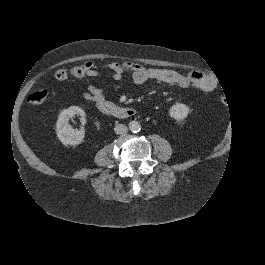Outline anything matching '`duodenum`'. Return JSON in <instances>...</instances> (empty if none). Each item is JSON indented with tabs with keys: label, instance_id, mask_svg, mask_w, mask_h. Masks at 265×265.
I'll return each instance as SVG.
<instances>
[{
	"label": "duodenum",
	"instance_id": "duodenum-1",
	"mask_svg": "<svg viewBox=\"0 0 265 265\" xmlns=\"http://www.w3.org/2000/svg\"><path fill=\"white\" fill-rule=\"evenodd\" d=\"M96 106L102 113L120 119H126L136 114V110L134 108L118 106L111 102H98L96 103Z\"/></svg>",
	"mask_w": 265,
	"mask_h": 265
}]
</instances>
